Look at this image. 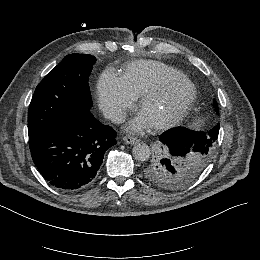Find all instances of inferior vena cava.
<instances>
[{"instance_id": "obj_1", "label": "inferior vena cava", "mask_w": 260, "mask_h": 260, "mask_svg": "<svg viewBox=\"0 0 260 260\" xmlns=\"http://www.w3.org/2000/svg\"><path fill=\"white\" fill-rule=\"evenodd\" d=\"M109 116H110L111 118L117 119L118 122H119V121H122V114H121L120 111L110 110V111H109Z\"/></svg>"}]
</instances>
